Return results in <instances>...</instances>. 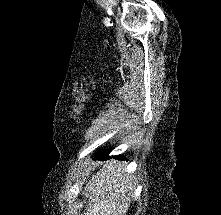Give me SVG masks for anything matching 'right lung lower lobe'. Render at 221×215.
<instances>
[{
    "label": "right lung lower lobe",
    "instance_id": "right-lung-lower-lobe-1",
    "mask_svg": "<svg viewBox=\"0 0 221 215\" xmlns=\"http://www.w3.org/2000/svg\"><path fill=\"white\" fill-rule=\"evenodd\" d=\"M95 157H97L98 159L109 158L108 157V152H106V151L96 153ZM115 158L120 159V160H124L125 159L123 156H115Z\"/></svg>",
    "mask_w": 221,
    "mask_h": 215
}]
</instances>
